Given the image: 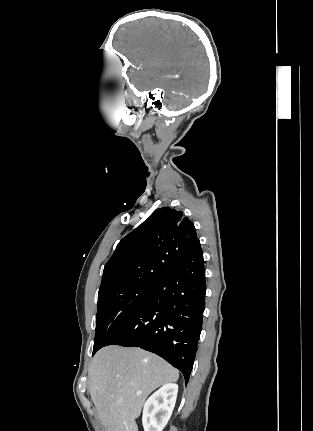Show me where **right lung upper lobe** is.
<instances>
[{
    "mask_svg": "<svg viewBox=\"0 0 313 431\" xmlns=\"http://www.w3.org/2000/svg\"><path fill=\"white\" fill-rule=\"evenodd\" d=\"M197 240L193 223L181 211L155 210L117 245L105 265L98 298L122 289L157 286Z\"/></svg>",
    "mask_w": 313,
    "mask_h": 431,
    "instance_id": "1",
    "label": "right lung upper lobe"
}]
</instances>
